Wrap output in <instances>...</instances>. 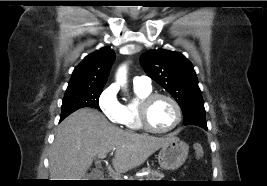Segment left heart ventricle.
Returning <instances> with one entry per match:
<instances>
[{"instance_id": "b2bd125f", "label": "left heart ventricle", "mask_w": 267, "mask_h": 186, "mask_svg": "<svg viewBox=\"0 0 267 186\" xmlns=\"http://www.w3.org/2000/svg\"><path fill=\"white\" fill-rule=\"evenodd\" d=\"M175 118V109L168 100L159 98L152 103L149 110V121L154 128H168L174 123Z\"/></svg>"}]
</instances>
